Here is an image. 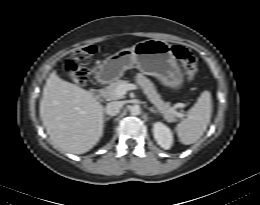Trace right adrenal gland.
<instances>
[{"mask_svg": "<svg viewBox=\"0 0 260 205\" xmlns=\"http://www.w3.org/2000/svg\"><path fill=\"white\" fill-rule=\"evenodd\" d=\"M112 117L110 116V117H105L104 118V121H108V120H110Z\"/></svg>", "mask_w": 260, "mask_h": 205, "instance_id": "2a0ac1e0", "label": "right adrenal gland"}]
</instances>
